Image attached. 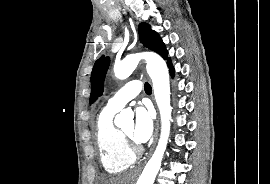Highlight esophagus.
Instances as JSON below:
<instances>
[{"label": "esophagus", "mask_w": 270, "mask_h": 184, "mask_svg": "<svg viewBox=\"0 0 270 184\" xmlns=\"http://www.w3.org/2000/svg\"><path fill=\"white\" fill-rule=\"evenodd\" d=\"M158 132H159V117H157V120H156V126H155V132H154V143H153V147L151 149L150 155L152 154V152L154 150V147H155V144L157 141V137H158Z\"/></svg>", "instance_id": "1"}]
</instances>
